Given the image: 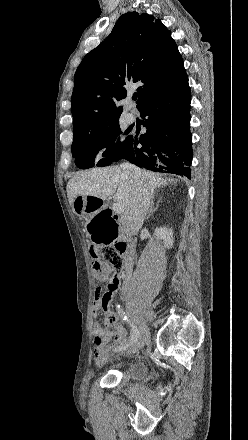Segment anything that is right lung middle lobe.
<instances>
[{
    "label": "right lung middle lobe",
    "instance_id": "dd1d6c3e",
    "mask_svg": "<svg viewBox=\"0 0 248 440\" xmlns=\"http://www.w3.org/2000/svg\"><path fill=\"white\" fill-rule=\"evenodd\" d=\"M120 129L119 122L110 126L74 135L72 143V155L75 164L81 169L107 166L112 161H118L125 154L130 142V136H126ZM101 149H105L97 163L95 156Z\"/></svg>",
    "mask_w": 248,
    "mask_h": 440
}]
</instances>
